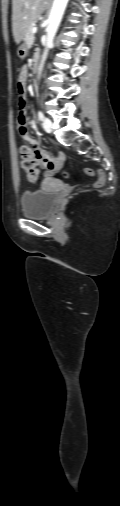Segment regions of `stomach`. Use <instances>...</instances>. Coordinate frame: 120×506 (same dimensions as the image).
<instances>
[{
	"label": "stomach",
	"instance_id": "1",
	"mask_svg": "<svg viewBox=\"0 0 120 506\" xmlns=\"http://www.w3.org/2000/svg\"><path fill=\"white\" fill-rule=\"evenodd\" d=\"M27 53H28V47H27V45L24 43V44H22V45L19 47V49H18V51H17V54H18V56H19L21 59H23V58H25V57H26Z\"/></svg>",
	"mask_w": 120,
	"mask_h": 506
}]
</instances>
